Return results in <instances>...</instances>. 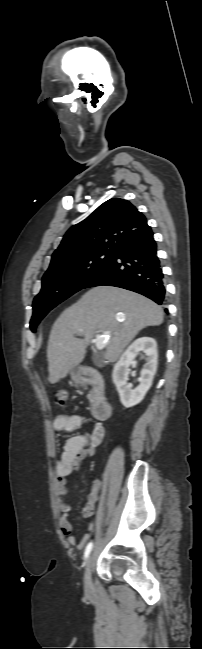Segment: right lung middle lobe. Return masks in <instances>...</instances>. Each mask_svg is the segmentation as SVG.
<instances>
[{
    "mask_svg": "<svg viewBox=\"0 0 202 649\" xmlns=\"http://www.w3.org/2000/svg\"><path fill=\"white\" fill-rule=\"evenodd\" d=\"M114 252L92 251L63 262L42 278V289L33 301L30 329L56 305L83 289L84 285L113 257Z\"/></svg>",
    "mask_w": 202,
    "mask_h": 649,
    "instance_id": "dd1d6c3e",
    "label": "right lung middle lobe"
}]
</instances>
